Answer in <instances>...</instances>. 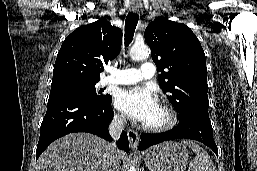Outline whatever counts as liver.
Returning <instances> with one entry per match:
<instances>
[{
  "mask_svg": "<svg viewBox=\"0 0 257 171\" xmlns=\"http://www.w3.org/2000/svg\"><path fill=\"white\" fill-rule=\"evenodd\" d=\"M108 143L87 133L68 134L48 146L37 163V171H103ZM118 164L121 152L115 151Z\"/></svg>",
  "mask_w": 257,
  "mask_h": 171,
  "instance_id": "liver-1",
  "label": "liver"
}]
</instances>
